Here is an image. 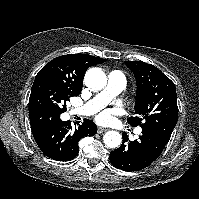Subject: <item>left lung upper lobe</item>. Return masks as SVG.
Instances as JSON below:
<instances>
[{
  "mask_svg": "<svg viewBox=\"0 0 199 199\" xmlns=\"http://www.w3.org/2000/svg\"><path fill=\"white\" fill-rule=\"evenodd\" d=\"M133 72L137 93L135 112L129 117L131 126L151 132L169 140L178 119L176 88L174 83L157 67L143 61H125Z\"/></svg>",
  "mask_w": 199,
  "mask_h": 199,
  "instance_id": "1",
  "label": "left lung upper lobe"
}]
</instances>
